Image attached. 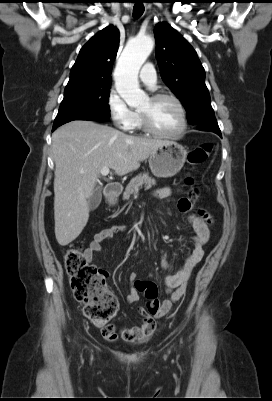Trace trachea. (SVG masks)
Masks as SVG:
<instances>
[{
	"label": "trachea",
	"mask_w": 272,
	"mask_h": 401,
	"mask_svg": "<svg viewBox=\"0 0 272 401\" xmlns=\"http://www.w3.org/2000/svg\"><path fill=\"white\" fill-rule=\"evenodd\" d=\"M140 2V0H136ZM144 12V5L142 3H136L133 7V16L135 19H138Z\"/></svg>",
	"instance_id": "1"
}]
</instances>
